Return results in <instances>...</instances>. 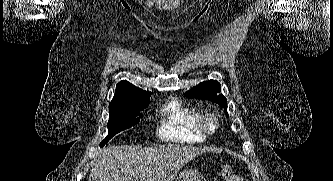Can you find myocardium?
Returning <instances> with one entry per match:
<instances>
[{"label":"myocardium","instance_id":"myocardium-1","mask_svg":"<svg viewBox=\"0 0 333 181\" xmlns=\"http://www.w3.org/2000/svg\"><path fill=\"white\" fill-rule=\"evenodd\" d=\"M198 127L204 135L216 133L219 127L217 116L212 112L201 114L198 120Z\"/></svg>","mask_w":333,"mask_h":181}]
</instances>
